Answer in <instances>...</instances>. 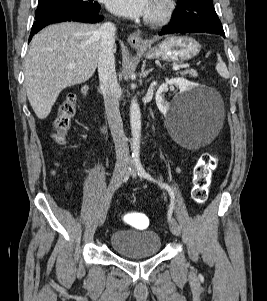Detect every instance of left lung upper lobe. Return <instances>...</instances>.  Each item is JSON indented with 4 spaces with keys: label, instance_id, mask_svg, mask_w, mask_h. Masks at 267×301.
<instances>
[{
    "label": "left lung upper lobe",
    "instance_id": "5c2ea615",
    "mask_svg": "<svg viewBox=\"0 0 267 301\" xmlns=\"http://www.w3.org/2000/svg\"><path fill=\"white\" fill-rule=\"evenodd\" d=\"M178 9L173 12V23H197L224 32L215 12L213 0H179Z\"/></svg>",
    "mask_w": 267,
    "mask_h": 301
}]
</instances>
